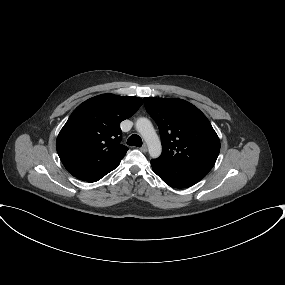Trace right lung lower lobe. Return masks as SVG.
<instances>
[{
    "label": "right lung lower lobe",
    "instance_id": "98d812e1",
    "mask_svg": "<svg viewBox=\"0 0 285 285\" xmlns=\"http://www.w3.org/2000/svg\"><path fill=\"white\" fill-rule=\"evenodd\" d=\"M99 179H101V178H98V179H95V180H91V181H88V182H95V181H98Z\"/></svg>",
    "mask_w": 285,
    "mask_h": 285
}]
</instances>
